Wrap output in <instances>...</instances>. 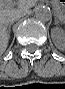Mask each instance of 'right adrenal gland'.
Segmentation results:
<instances>
[{"label": "right adrenal gland", "mask_w": 65, "mask_h": 89, "mask_svg": "<svg viewBox=\"0 0 65 89\" xmlns=\"http://www.w3.org/2000/svg\"><path fill=\"white\" fill-rule=\"evenodd\" d=\"M7 32H8V34L10 35V32H11V24L8 25Z\"/></svg>", "instance_id": "1"}]
</instances>
